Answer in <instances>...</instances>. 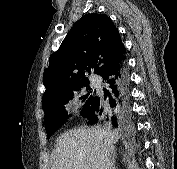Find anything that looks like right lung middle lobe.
Masks as SVG:
<instances>
[{"instance_id": "right-lung-middle-lobe-1", "label": "right lung middle lobe", "mask_w": 177, "mask_h": 169, "mask_svg": "<svg viewBox=\"0 0 177 169\" xmlns=\"http://www.w3.org/2000/svg\"><path fill=\"white\" fill-rule=\"evenodd\" d=\"M88 84H84L78 87H75L71 91L64 94L58 100L43 105V109L45 112L44 125L45 130L47 132V137H50L53 132H55L60 126L67 121L69 118L68 112L65 110L64 104H66L69 99L73 98L74 94L80 92L83 86H88ZM95 97L94 91H89L86 95L82 96L81 99L83 104V108L81 111V115H84L89 108L91 107ZM126 124V121L120 122L118 127H123Z\"/></svg>"}]
</instances>
